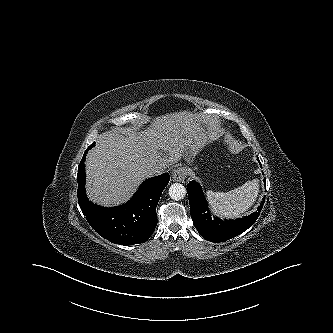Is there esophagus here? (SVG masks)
Returning <instances> with one entry per match:
<instances>
[{"label":"esophagus","mask_w":333,"mask_h":333,"mask_svg":"<svg viewBox=\"0 0 333 333\" xmlns=\"http://www.w3.org/2000/svg\"><path fill=\"white\" fill-rule=\"evenodd\" d=\"M187 172L183 167H177L172 172V179L176 182H182L186 178Z\"/></svg>","instance_id":"1"}]
</instances>
